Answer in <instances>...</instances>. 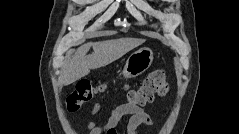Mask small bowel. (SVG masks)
Segmentation results:
<instances>
[{
    "label": "small bowel",
    "mask_w": 239,
    "mask_h": 134,
    "mask_svg": "<svg viewBox=\"0 0 239 134\" xmlns=\"http://www.w3.org/2000/svg\"><path fill=\"white\" fill-rule=\"evenodd\" d=\"M101 105L96 103L92 106L90 114L92 118L98 114ZM130 115L127 123V134H135L137 127L140 125H151L153 120L142 108L130 103L115 105L112 108L108 121L103 125H97L94 119L87 123L88 134H117L116 127L124 116Z\"/></svg>",
    "instance_id": "1"
}]
</instances>
